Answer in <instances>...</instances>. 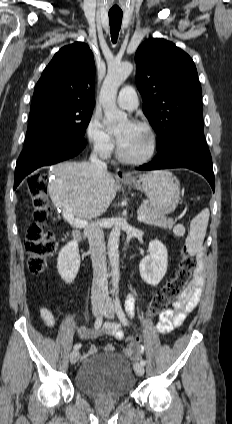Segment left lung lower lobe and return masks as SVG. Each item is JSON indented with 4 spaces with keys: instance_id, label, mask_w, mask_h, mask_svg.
<instances>
[{
    "instance_id": "1",
    "label": "left lung lower lobe",
    "mask_w": 232,
    "mask_h": 424,
    "mask_svg": "<svg viewBox=\"0 0 232 424\" xmlns=\"http://www.w3.org/2000/svg\"><path fill=\"white\" fill-rule=\"evenodd\" d=\"M158 155L150 163L140 166L139 170L167 168H189L202 174L215 190L212 158L209 152L203 124L196 123L176 131L164 144L157 148Z\"/></svg>"
}]
</instances>
